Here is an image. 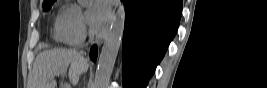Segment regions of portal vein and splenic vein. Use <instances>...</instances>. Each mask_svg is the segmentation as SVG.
<instances>
[{
	"mask_svg": "<svg viewBox=\"0 0 267 88\" xmlns=\"http://www.w3.org/2000/svg\"><path fill=\"white\" fill-rule=\"evenodd\" d=\"M64 73H65V70H62V71L57 72L56 75L59 76L60 74L63 75ZM65 88H70V86L66 85Z\"/></svg>",
	"mask_w": 267,
	"mask_h": 88,
	"instance_id": "1",
	"label": "portal vein and splenic vein"
}]
</instances>
